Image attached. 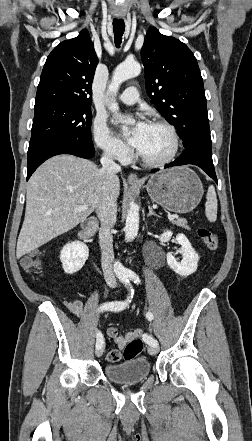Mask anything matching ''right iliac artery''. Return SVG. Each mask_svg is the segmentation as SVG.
<instances>
[{"mask_svg":"<svg viewBox=\"0 0 252 441\" xmlns=\"http://www.w3.org/2000/svg\"><path fill=\"white\" fill-rule=\"evenodd\" d=\"M122 282L126 286L131 288V285L129 283V279L128 278L123 279ZM131 292H132L131 293V298H132L133 289H131ZM129 302H130V296L125 301H116V302L106 303V304L100 306L98 311H107L108 310V311L119 312V311L125 309V307L129 304ZM103 344H104L103 335H102V333L100 331H97V333H96V349L101 348L103 346Z\"/></svg>","mask_w":252,"mask_h":441,"instance_id":"obj_1","label":"right iliac artery"}]
</instances>
